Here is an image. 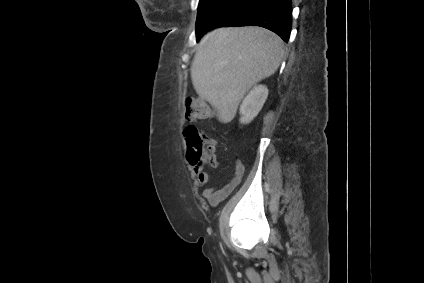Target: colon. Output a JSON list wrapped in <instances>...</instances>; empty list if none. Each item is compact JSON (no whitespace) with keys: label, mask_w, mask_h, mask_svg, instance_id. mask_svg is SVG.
I'll return each instance as SVG.
<instances>
[{"label":"colon","mask_w":424,"mask_h":283,"mask_svg":"<svg viewBox=\"0 0 424 283\" xmlns=\"http://www.w3.org/2000/svg\"><path fill=\"white\" fill-rule=\"evenodd\" d=\"M209 114L210 109L203 101L189 99L186 102L185 115L189 121L203 119ZM185 134L190 148L188 153L189 161L215 166L217 164L215 157L216 140L200 132L195 126H189Z\"/></svg>","instance_id":"colon-1"}]
</instances>
